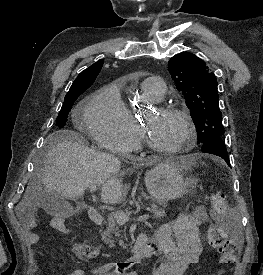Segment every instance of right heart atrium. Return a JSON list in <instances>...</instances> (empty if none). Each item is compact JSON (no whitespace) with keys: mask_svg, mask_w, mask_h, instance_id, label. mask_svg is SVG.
Listing matches in <instances>:
<instances>
[{"mask_svg":"<svg viewBox=\"0 0 263 275\" xmlns=\"http://www.w3.org/2000/svg\"><path fill=\"white\" fill-rule=\"evenodd\" d=\"M84 120L94 141L110 151L128 152L139 141V130L115 87L103 88L90 99Z\"/></svg>","mask_w":263,"mask_h":275,"instance_id":"obj_1","label":"right heart atrium"}]
</instances>
